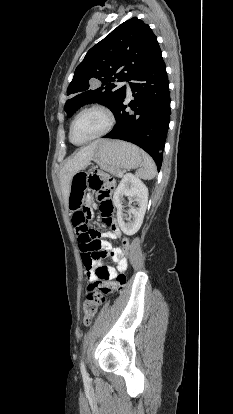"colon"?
<instances>
[{
    "instance_id": "5ec220e1",
    "label": "colon",
    "mask_w": 233,
    "mask_h": 414,
    "mask_svg": "<svg viewBox=\"0 0 233 414\" xmlns=\"http://www.w3.org/2000/svg\"><path fill=\"white\" fill-rule=\"evenodd\" d=\"M89 187L98 193L101 201L100 210L103 220L105 221L113 212V203L110 199L111 192L115 187V180L105 172L96 171L89 176ZM90 217L89 209H82L74 213L73 224L79 234L78 239L82 252V260L89 270L93 263L104 256L102 242L99 239L98 232L90 229L88 220ZM129 248L128 238H123L122 246L114 255L119 260H127ZM98 280L95 283L89 284L86 290V299L83 305L84 323L89 325L98 308L105 300V296L111 292L112 289H121L126 283V271L121 272L114 283L107 282V269L99 267L96 270Z\"/></svg>"
}]
</instances>
